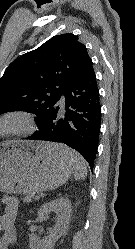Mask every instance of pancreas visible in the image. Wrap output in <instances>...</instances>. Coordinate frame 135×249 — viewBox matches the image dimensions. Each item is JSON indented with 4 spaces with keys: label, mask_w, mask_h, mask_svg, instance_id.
Listing matches in <instances>:
<instances>
[{
    "label": "pancreas",
    "mask_w": 135,
    "mask_h": 249,
    "mask_svg": "<svg viewBox=\"0 0 135 249\" xmlns=\"http://www.w3.org/2000/svg\"><path fill=\"white\" fill-rule=\"evenodd\" d=\"M33 194H27L22 200L23 202H31Z\"/></svg>",
    "instance_id": "pancreas-1"
}]
</instances>
